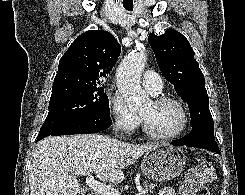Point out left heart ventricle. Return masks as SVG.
Segmentation results:
<instances>
[{
  "label": "left heart ventricle",
  "instance_id": "left-heart-ventricle-1",
  "mask_svg": "<svg viewBox=\"0 0 245 195\" xmlns=\"http://www.w3.org/2000/svg\"><path fill=\"white\" fill-rule=\"evenodd\" d=\"M149 129L155 134L175 132L182 123V113L173 104L154 105L152 101L140 111Z\"/></svg>",
  "mask_w": 245,
  "mask_h": 195
}]
</instances>
